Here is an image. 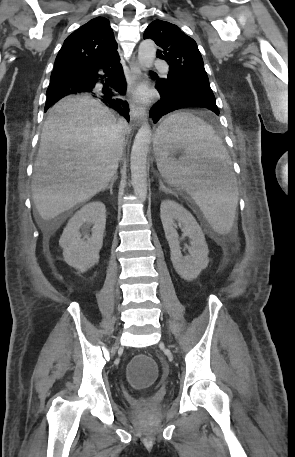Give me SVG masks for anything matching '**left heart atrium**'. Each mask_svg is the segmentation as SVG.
<instances>
[{
	"label": "left heart atrium",
	"instance_id": "obj_1",
	"mask_svg": "<svg viewBox=\"0 0 295 457\" xmlns=\"http://www.w3.org/2000/svg\"><path fill=\"white\" fill-rule=\"evenodd\" d=\"M136 95L140 100H145L147 98V92L144 88H140Z\"/></svg>",
	"mask_w": 295,
	"mask_h": 457
}]
</instances>
